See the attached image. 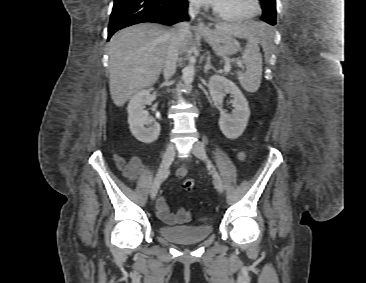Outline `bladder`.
Listing matches in <instances>:
<instances>
[{"label":"bladder","mask_w":366,"mask_h":283,"mask_svg":"<svg viewBox=\"0 0 366 283\" xmlns=\"http://www.w3.org/2000/svg\"><path fill=\"white\" fill-rule=\"evenodd\" d=\"M213 232L211 224L166 226L158 225L157 233L177 244H194L205 240Z\"/></svg>","instance_id":"bladder-1"}]
</instances>
